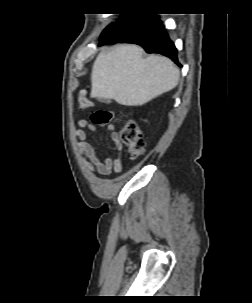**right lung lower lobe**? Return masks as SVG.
Here are the masks:
<instances>
[{
    "label": "right lung lower lobe",
    "mask_w": 252,
    "mask_h": 303,
    "mask_svg": "<svg viewBox=\"0 0 252 303\" xmlns=\"http://www.w3.org/2000/svg\"><path fill=\"white\" fill-rule=\"evenodd\" d=\"M135 43L147 53H158L177 60V50L164 30L161 20L153 14H125L115 26L100 38V45Z\"/></svg>",
    "instance_id": "98d812e1"
}]
</instances>
